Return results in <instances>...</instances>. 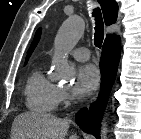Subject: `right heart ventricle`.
<instances>
[{
    "label": "right heart ventricle",
    "mask_w": 141,
    "mask_h": 139,
    "mask_svg": "<svg viewBox=\"0 0 141 139\" xmlns=\"http://www.w3.org/2000/svg\"><path fill=\"white\" fill-rule=\"evenodd\" d=\"M58 93L59 88L40 69H35L25 83V104L34 113L50 114L58 105Z\"/></svg>",
    "instance_id": "e07e8e85"
}]
</instances>
